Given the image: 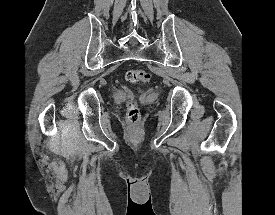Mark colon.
Listing matches in <instances>:
<instances>
[{
  "mask_svg": "<svg viewBox=\"0 0 275 215\" xmlns=\"http://www.w3.org/2000/svg\"><path fill=\"white\" fill-rule=\"evenodd\" d=\"M125 78L130 83H148L150 81V73L144 69H131L126 72ZM126 110L129 121L137 123L140 119V110L134 99L126 102Z\"/></svg>",
  "mask_w": 275,
  "mask_h": 215,
  "instance_id": "obj_1",
  "label": "colon"
}]
</instances>
